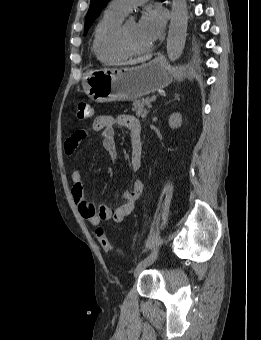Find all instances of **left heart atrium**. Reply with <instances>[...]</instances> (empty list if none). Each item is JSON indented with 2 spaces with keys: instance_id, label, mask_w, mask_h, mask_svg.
Listing matches in <instances>:
<instances>
[{
  "instance_id": "left-heart-atrium-1",
  "label": "left heart atrium",
  "mask_w": 261,
  "mask_h": 340,
  "mask_svg": "<svg viewBox=\"0 0 261 340\" xmlns=\"http://www.w3.org/2000/svg\"><path fill=\"white\" fill-rule=\"evenodd\" d=\"M166 16L162 10L147 8L138 22L140 33L149 41L150 45L162 34Z\"/></svg>"
}]
</instances>
